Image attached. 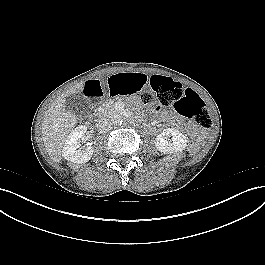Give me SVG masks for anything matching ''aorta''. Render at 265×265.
Returning a JSON list of instances; mask_svg holds the SVG:
<instances>
[{
	"label": "aorta",
	"instance_id": "1",
	"mask_svg": "<svg viewBox=\"0 0 265 265\" xmlns=\"http://www.w3.org/2000/svg\"><path fill=\"white\" fill-rule=\"evenodd\" d=\"M110 120L114 125H121L124 118L120 113H114L113 115H111Z\"/></svg>",
	"mask_w": 265,
	"mask_h": 265
}]
</instances>
